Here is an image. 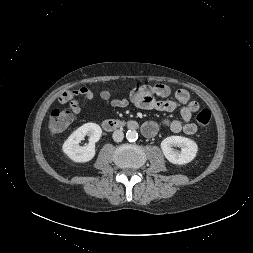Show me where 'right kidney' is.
<instances>
[{"label":"right kidney","mask_w":253,"mask_h":253,"mask_svg":"<svg viewBox=\"0 0 253 253\" xmlns=\"http://www.w3.org/2000/svg\"><path fill=\"white\" fill-rule=\"evenodd\" d=\"M89 136V143L80 146L85 136ZM102 129L95 123H86L75 130L64 142L63 152L74 162H88L95 156V143L99 141Z\"/></svg>","instance_id":"1"}]
</instances>
